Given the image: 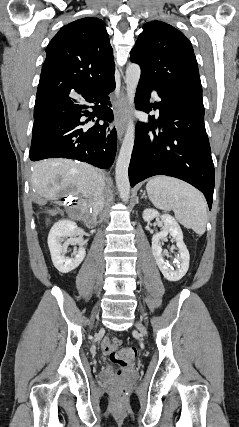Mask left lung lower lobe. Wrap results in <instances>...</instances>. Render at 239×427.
Returning a JSON list of instances; mask_svg holds the SVG:
<instances>
[{
	"label": "left lung lower lobe",
	"mask_w": 239,
	"mask_h": 427,
	"mask_svg": "<svg viewBox=\"0 0 239 427\" xmlns=\"http://www.w3.org/2000/svg\"><path fill=\"white\" fill-rule=\"evenodd\" d=\"M162 99L150 103L151 90ZM135 104L138 110L150 112L159 109V117L149 116L150 124L138 122L135 144L129 165L131 186L154 176L167 175L195 186L212 207L214 165L204 125V106L161 89L140 79ZM159 133H155V128ZM152 130L153 134L148 135Z\"/></svg>",
	"instance_id": "left-lung-lower-lobe-1"
}]
</instances>
